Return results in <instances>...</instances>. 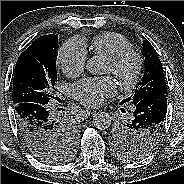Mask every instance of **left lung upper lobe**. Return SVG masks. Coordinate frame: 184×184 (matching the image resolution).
Instances as JSON below:
<instances>
[{
	"mask_svg": "<svg viewBox=\"0 0 184 184\" xmlns=\"http://www.w3.org/2000/svg\"><path fill=\"white\" fill-rule=\"evenodd\" d=\"M142 54L145 57L144 75L136 84L130 97L121 101V104L130 102L134 106L145 97L155 94H167L166 80L161 61L147 40L143 42ZM131 120L117 122L110 131V139L114 145L117 155L124 160H137L147 155L157 142H151L147 150L137 151L134 145L138 141H152L156 136L157 130L150 127H134L130 124ZM154 135V137L151 136ZM161 137V136H160ZM159 137V138H160Z\"/></svg>",
	"mask_w": 184,
	"mask_h": 184,
	"instance_id": "1",
	"label": "left lung upper lobe"
}]
</instances>
